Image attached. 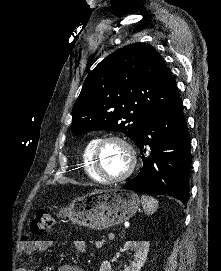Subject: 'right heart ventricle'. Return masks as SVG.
I'll use <instances>...</instances> for the list:
<instances>
[{
    "mask_svg": "<svg viewBox=\"0 0 221 271\" xmlns=\"http://www.w3.org/2000/svg\"><path fill=\"white\" fill-rule=\"evenodd\" d=\"M96 136H90L84 142L81 152L82 165L85 166L86 176H91V179H99V183H106V178H103L99 171H96V167H99V162H96L94 154L89 149H96L97 145L92 144ZM85 160V161H84Z\"/></svg>",
    "mask_w": 221,
    "mask_h": 271,
    "instance_id": "1",
    "label": "right heart ventricle"
}]
</instances>
